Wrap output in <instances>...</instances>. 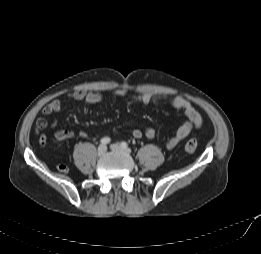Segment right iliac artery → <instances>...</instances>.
I'll list each match as a JSON object with an SVG mask.
<instances>
[{"instance_id":"obj_1","label":"right iliac artery","mask_w":261,"mask_h":254,"mask_svg":"<svg viewBox=\"0 0 261 254\" xmlns=\"http://www.w3.org/2000/svg\"><path fill=\"white\" fill-rule=\"evenodd\" d=\"M110 141H111V139H110L109 137H104V138H102V139L100 140V143H101L102 145H106V144L110 143Z\"/></svg>"}]
</instances>
